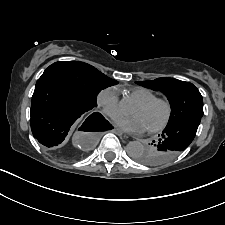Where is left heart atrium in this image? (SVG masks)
Wrapping results in <instances>:
<instances>
[{"instance_id":"left-heart-atrium-1","label":"left heart atrium","mask_w":225,"mask_h":225,"mask_svg":"<svg viewBox=\"0 0 225 225\" xmlns=\"http://www.w3.org/2000/svg\"><path fill=\"white\" fill-rule=\"evenodd\" d=\"M116 124L125 131L132 133H142L147 130V126L143 119L139 116H117L115 118Z\"/></svg>"}]
</instances>
